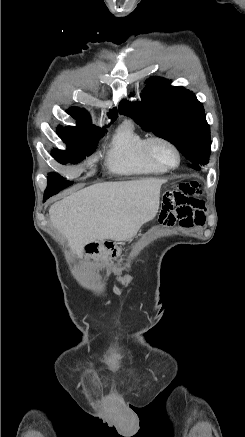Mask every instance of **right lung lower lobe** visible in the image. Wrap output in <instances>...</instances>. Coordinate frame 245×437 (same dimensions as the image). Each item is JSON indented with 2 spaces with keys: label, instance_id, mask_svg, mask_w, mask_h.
<instances>
[{
  "label": "right lung lower lobe",
  "instance_id": "1",
  "mask_svg": "<svg viewBox=\"0 0 245 437\" xmlns=\"http://www.w3.org/2000/svg\"><path fill=\"white\" fill-rule=\"evenodd\" d=\"M68 186H70L69 183H62V182L48 184L47 189L45 190L44 193V201Z\"/></svg>",
  "mask_w": 245,
  "mask_h": 437
}]
</instances>
